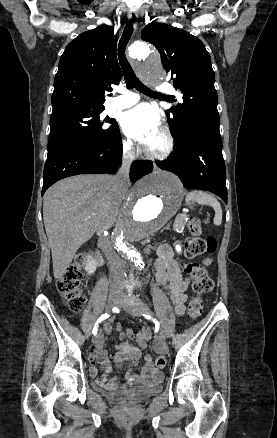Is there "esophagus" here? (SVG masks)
Instances as JSON below:
<instances>
[{
	"label": "esophagus",
	"instance_id": "1",
	"mask_svg": "<svg viewBox=\"0 0 277 438\" xmlns=\"http://www.w3.org/2000/svg\"><path fill=\"white\" fill-rule=\"evenodd\" d=\"M128 19L132 22L133 29L136 30L137 24H138V14H137V12L129 11L128 12Z\"/></svg>",
	"mask_w": 277,
	"mask_h": 438
}]
</instances>
